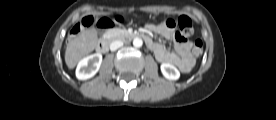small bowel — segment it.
Segmentation results:
<instances>
[{
  "label": "small bowel",
  "mask_w": 276,
  "mask_h": 120,
  "mask_svg": "<svg viewBox=\"0 0 276 120\" xmlns=\"http://www.w3.org/2000/svg\"><path fill=\"white\" fill-rule=\"evenodd\" d=\"M147 30L155 32L167 40H172L174 43L176 53L168 50L162 44L153 41L149 36V48L154 52L157 60L163 63L175 64L183 73H187L193 67L194 61L190 53L191 44L186 38L179 37L174 27L169 28L162 25L148 24Z\"/></svg>",
  "instance_id": "1"
}]
</instances>
